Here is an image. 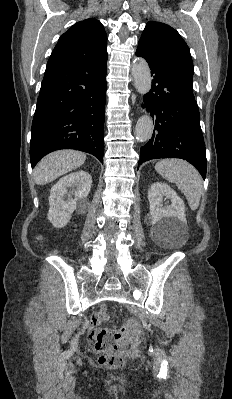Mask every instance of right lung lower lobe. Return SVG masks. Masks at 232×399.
<instances>
[{
    "mask_svg": "<svg viewBox=\"0 0 232 399\" xmlns=\"http://www.w3.org/2000/svg\"><path fill=\"white\" fill-rule=\"evenodd\" d=\"M107 56L76 63H48L32 122L30 162L76 149L103 163Z\"/></svg>",
    "mask_w": 232,
    "mask_h": 399,
    "instance_id": "right-lung-lower-lobe-1",
    "label": "right lung lower lobe"
}]
</instances>
